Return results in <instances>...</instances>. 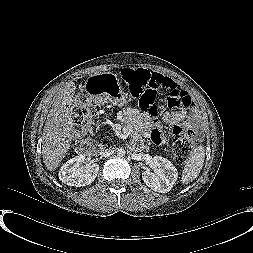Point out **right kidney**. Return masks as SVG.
<instances>
[{"label":"right kidney","instance_id":"right-kidney-1","mask_svg":"<svg viewBox=\"0 0 253 253\" xmlns=\"http://www.w3.org/2000/svg\"><path fill=\"white\" fill-rule=\"evenodd\" d=\"M84 155L76 156L68 160L59 171V179L69 186H86L96 178L99 165L96 163L87 164Z\"/></svg>","mask_w":253,"mask_h":253}]
</instances>
